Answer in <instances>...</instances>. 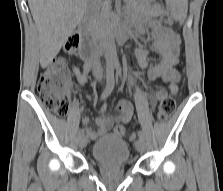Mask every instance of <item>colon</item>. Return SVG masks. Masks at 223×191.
I'll list each match as a JSON object with an SVG mask.
<instances>
[{
	"label": "colon",
	"mask_w": 223,
	"mask_h": 191,
	"mask_svg": "<svg viewBox=\"0 0 223 191\" xmlns=\"http://www.w3.org/2000/svg\"><path fill=\"white\" fill-rule=\"evenodd\" d=\"M165 22L170 24V18L165 17ZM80 37L78 35L71 36L65 43L64 50L73 53L79 47ZM77 74L78 71H75ZM69 80L70 71L64 58H55L52 63L41 73L37 92L43 104L58 116H64L69 108ZM176 107L175 99L172 96H165L160 101L157 109V119L159 121L167 120ZM115 134L124 137L127 130L124 126H117ZM134 140V135H131Z\"/></svg>",
	"instance_id": "1"
}]
</instances>
